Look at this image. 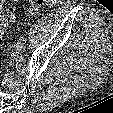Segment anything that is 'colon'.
<instances>
[{
  "mask_svg": "<svg viewBox=\"0 0 113 113\" xmlns=\"http://www.w3.org/2000/svg\"><path fill=\"white\" fill-rule=\"evenodd\" d=\"M46 0H31L30 1V13L33 16H36L39 13L40 7L44 4ZM0 26L3 29V19L0 18Z\"/></svg>",
  "mask_w": 113,
  "mask_h": 113,
  "instance_id": "5ec220e1",
  "label": "colon"
}]
</instances>
